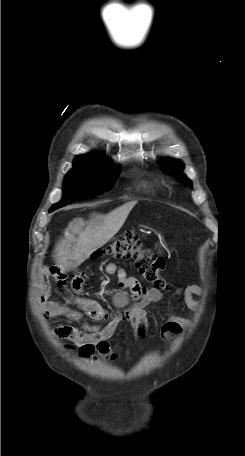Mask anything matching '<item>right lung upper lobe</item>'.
<instances>
[{
    "label": "right lung upper lobe",
    "instance_id": "1",
    "mask_svg": "<svg viewBox=\"0 0 245 456\" xmlns=\"http://www.w3.org/2000/svg\"><path fill=\"white\" fill-rule=\"evenodd\" d=\"M110 163V160L102 153H90L88 155H80L74 160V165H98Z\"/></svg>",
    "mask_w": 245,
    "mask_h": 456
}]
</instances>
